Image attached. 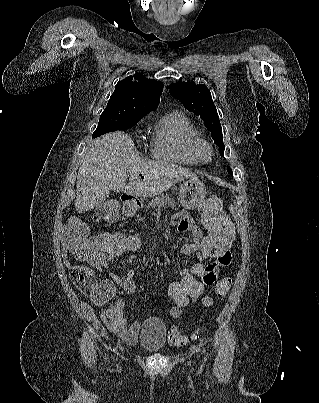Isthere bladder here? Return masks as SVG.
I'll return each mask as SVG.
<instances>
[{"label":"bladder","mask_w":319,"mask_h":403,"mask_svg":"<svg viewBox=\"0 0 319 403\" xmlns=\"http://www.w3.org/2000/svg\"><path fill=\"white\" fill-rule=\"evenodd\" d=\"M142 333L138 345L149 352H160L166 342V326L158 318H151L141 324Z\"/></svg>","instance_id":"1"}]
</instances>
